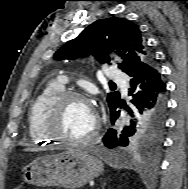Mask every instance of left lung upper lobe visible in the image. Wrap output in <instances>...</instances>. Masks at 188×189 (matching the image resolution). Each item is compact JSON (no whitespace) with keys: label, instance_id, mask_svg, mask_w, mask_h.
Listing matches in <instances>:
<instances>
[{"label":"left lung upper lobe","instance_id":"1","mask_svg":"<svg viewBox=\"0 0 188 189\" xmlns=\"http://www.w3.org/2000/svg\"><path fill=\"white\" fill-rule=\"evenodd\" d=\"M123 59L118 67L125 73L153 59L141 31L134 23L122 18L100 19L89 25L77 38L64 44L56 53V60L76 59L89 54L96 55L100 63H109V52ZM120 101L118 92L109 93L110 110ZM164 124L158 127L139 126L130 137L128 148L145 145L151 151L160 146Z\"/></svg>","mask_w":188,"mask_h":189}]
</instances>
